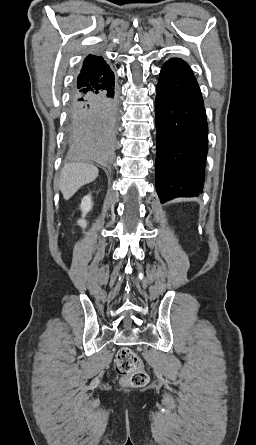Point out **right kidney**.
I'll list each match as a JSON object with an SVG mask.
<instances>
[{
    "label": "right kidney",
    "instance_id": "obj_1",
    "mask_svg": "<svg viewBox=\"0 0 256 445\" xmlns=\"http://www.w3.org/2000/svg\"><path fill=\"white\" fill-rule=\"evenodd\" d=\"M92 198L91 195H86L82 201H81V205H80V209L82 211V219L78 220V224L84 229L87 225L86 221L84 220V217L86 216V214L91 210L92 208Z\"/></svg>",
    "mask_w": 256,
    "mask_h": 445
}]
</instances>
